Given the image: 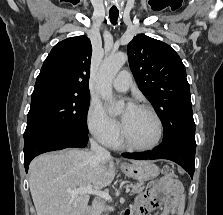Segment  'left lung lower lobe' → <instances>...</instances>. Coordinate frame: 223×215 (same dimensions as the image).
Instances as JSON below:
<instances>
[{
  "label": "left lung lower lobe",
  "mask_w": 223,
  "mask_h": 215,
  "mask_svg": "<svg viewBox=\"0 0 223 215\" xmlns=\"http://www.w3.org/2000/svg\"><path fill=\"white\" fill-rule=\"evenodd\" d=\"M195 137H174L163 142L152 151L123 153L126 158L137 160L168 159L183 167L193 178L195 170Z\"/></svg>",
  "instance_id": "left-lung-lower-lobe-1"
}]
</instances>
